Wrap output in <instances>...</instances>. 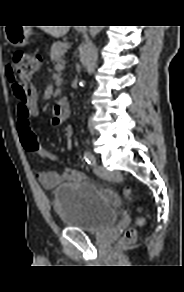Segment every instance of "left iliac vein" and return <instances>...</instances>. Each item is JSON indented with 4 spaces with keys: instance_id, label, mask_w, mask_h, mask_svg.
<instances>
[{
    "instance_id": "4c4485c4",
    "label": "left iliac vein",
    "mask_w": 184,
    "mask_h": 292,
    "mask_svg": "<svg viewBox=\"0 0 184 292\" xmlns=\"http://www.w3.org/2000/svg\"><path fill=\"white\" fill-rule=\"evenodd\" d=\"M94 172L102 179L111 180L115 177L114 172L108 171L105 167L95 165Z\"/></svg>"
}]
</instances>
